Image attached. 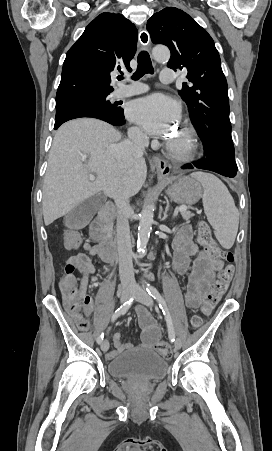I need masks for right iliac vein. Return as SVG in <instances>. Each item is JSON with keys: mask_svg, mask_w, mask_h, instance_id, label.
<instances>
[{"mask_svg": "<svg viewBox=\"0 0 272 451\" xmlns=\"http://www.w3.org/2000/svg\"><path fill=\"white\" fill-rule=\"evenodd\" d=\"M133 293H134V289L133 288H131V287H124L123 291L121 293V302H125L128 299H130L132 297ZM108 349H109V342H108V340H103L101 342V350L103 352H107Z\"/></svg>", "mask_w": 272, "mask_h": 451, "instance_id": "obj_1", "label": "right iliac vein"}]
</instances>
